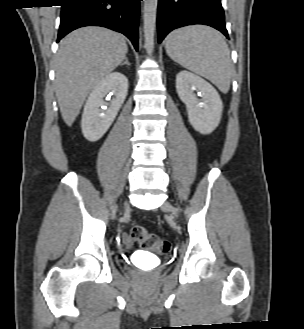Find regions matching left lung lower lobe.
<instances>
[{"label": "left lung lower lobe", "instance_id": "left-lung-lower-lobe-1", "mask_svg": "<svg viewBox=\"0 0 304 329\" xmlns=\"http://www.w3.org/2000/svg\"><path fill=\"white\" fill-rule=\"evenodd\" d=\"M192 24L216 28L228 38L221 0H158V42L172 30Z\"/></svg>", "mask_w": 304, "mask_h": 329}]
</instances>
